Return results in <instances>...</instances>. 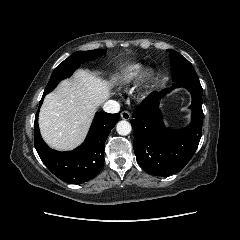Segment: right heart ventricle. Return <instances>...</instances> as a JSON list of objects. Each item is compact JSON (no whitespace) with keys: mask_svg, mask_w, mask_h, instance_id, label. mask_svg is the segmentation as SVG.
<instances>
[{"mask_svg":"<svg viewBox=\"0 0 240 240\" xmlns=\"http://www.w3.org/2000/svg\"><path fill=\"white\" fill-rule=\"evenodd\" d=\"M141 70V64H128L117 71L116 81L120 86H128L137 79Z\"/></svg>","mask_w":240,"mask_h":240,"instance_id":"1","label":"right heart ventricle"}]
</instances>
